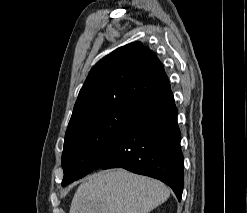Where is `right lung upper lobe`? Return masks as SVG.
Masks as SVG:
<instances>
[{
	"label": "right lung upper lobe",
	"mask_w": 247,
	"mask_h": 213,
	"mask_svg": "<svg viewBox=\"0 0 247 213\" xmlns=\"http://www.w3.org/2000/svg\"><path fill=\"white\" fill-rule=\"evenodd\" d=\"M168 84L157 56L141 42L122 46L89 72L79 92L67 131L120 102L153 92Z\"/></svg>",
	"instance_id": "obj_1"
}]
</instances>
